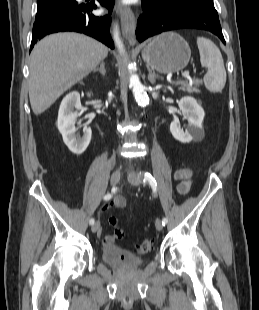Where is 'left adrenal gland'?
<instances>
[{"mask_svg": "<svg viewBox=\"0 0 259 310\" xmlns=\"http://www.w3.org/2000/svg\"><path fill=\"white\" fill-rule=\"evenodd\" d=\"M148 80L153 85L156 82V79H162L159 75L155 74V72H152V70L148 67Z\"/></svg>", "mask_w": 259, "mask_h": 310, "instance_id": "1", "label": "left adrenal gland"}]
</instances>
